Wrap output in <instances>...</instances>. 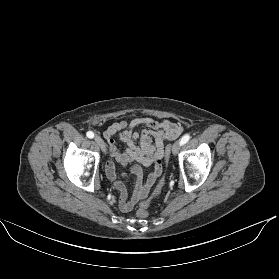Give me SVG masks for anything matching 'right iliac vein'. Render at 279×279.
<instances>
[{"label": "right iliac vein", "mask_w": 279, "mask_h": 279, "mask_svg": "<svg viewBox=\"0 0 279 279\" xmlns=\"http://www.w3.org/2000/svg\"><path fill=\"white\" fill-rule=\"evenodd\" d=\"M94 140L99 145L101 150L106 154L107 153V148H106V144H105L104 140L101 137H99V136H96L94 138Z\"/></svg>", "instance_id": "obj_1"}]
</instances>
